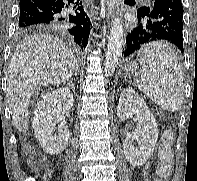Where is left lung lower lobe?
<instances>
[{
	"mask_svg": "<svg viewBox=\"0 0 197 181\" xmlns=\"http://www.w3.org/2000/svg\"><path fill=\"white\" fill-rule=\"evenodd\" d=\"M183 6L181 0H155L150 12L138 17L126 37L122 56L127 57L149 42L167 40L183 51Z\"/></svg>",
	"mask_w": 197,
	"mask_h": 181,
	"instance_id": "left-lung-lower-lobe-1",
	"label": "left lung lower lobe"
}]
</instances>
